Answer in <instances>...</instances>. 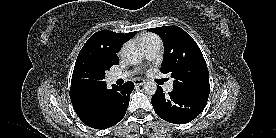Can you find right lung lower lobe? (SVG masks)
Listing matches in <instances>:
<instances>
[{"instance_id": "obj_1", "label": "right lung lower lobe", "mask_w": 276, "mask_h": 138, "mask_svg": "<svg viewBox=\"0 0 276 138\" xmlns=\"http://www.w3.org/2000/svg\"><path fill=\"white\" fill-rule=\"evenodd\" d=\"M134 89L132 82L113 85L100 91L99 97L92 101L88 118L79 117L84 124L94 129H106L121 121L127 111L130 94Z\"/></svg>"}]
</instances>
